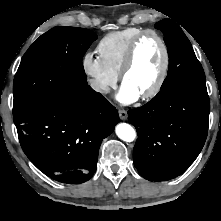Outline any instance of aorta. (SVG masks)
Masks as SVG:
<instances>
[{"instance_id":"762f6f07","label":"aorta","mask_w":221,"mask_h":221,"mask_svg":"<svg viewBox=\"0 0 221 221\" xmlns=\"http://www.w3.org/2000/svg\"><path fill=\"white\" fill-rule=\"evenodd\" d=\"M115 132L121 140L126 142H132L136 137L134 128L127 123H119L115 127Z\"/></svg>"}]
</instances>
